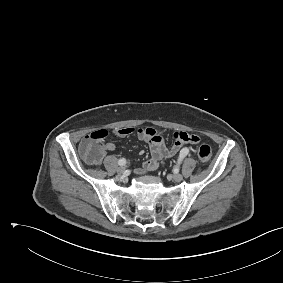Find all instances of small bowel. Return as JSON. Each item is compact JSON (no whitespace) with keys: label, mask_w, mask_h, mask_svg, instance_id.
I'll list each match as a JSON object with an SVG mask.
<instances>
[{"label":"small bowel","mask_w":283,"mask_h":283,"mask_svg":"<svg viewBox=\"0 0 283 283\" xmlns=\"http://www.w3.org/2000/svg\"><path fill=\"white\" fill-rule=\"evenodd\" d=\"M113 134L117 137H127L136 135L140 140L149 144L151 157L147 159L141 169L137 170L138 174H143L150 171H155L164 159L175 156L184 145L197 144L200 137L195 134L186 132H176L174 134V142L170 147L164 143L163 134L153 128H132L124 127L113 130ZM115 145L112 142H107L103 145L104 152L113 151Z\"/></svg>","instance_id":"small-bowel-1"}]
</instances>
